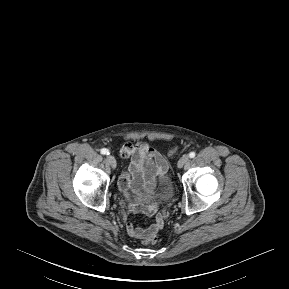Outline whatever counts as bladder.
<instances>
[{
    "instance_id": "1",
    "label": "bladder",
    "mask_w": 289,
    "mask_h": 289,
    "mask_svg": "<svg viewBox=\"0 0 289 289\" xmlns=\"http://www.w3.org/2000/svg\"><path fill=\"white\" fill-rule=\"evenodd\" d=\"M159 183L162 187V199L165 202H168L174 193V184L172 179L169 177V175L165 174L160 177Z\"/></svg>"
}]
</instances>
